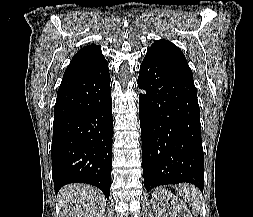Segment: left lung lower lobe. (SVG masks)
I'll list each match as a JSON object with an SVG mask.
<instances>
[{
  "instance_id": "1",
  "label": "left lung lower lobe",
  "mask_w": 253,
  "mask_h": 217,
  "mask_svg": "<svg viewBox=\"0 0 253 217\" xmlns=\"http://www.w3.org/2000/svg\"><path fill=\"white\" fill-rule=\"evenodd\" d=\"M138 86L146 190L189 182L203 191L200 109L193 79L146 54Z\"/></svg>"
}]
</instances>
